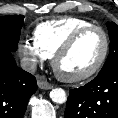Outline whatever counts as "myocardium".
Masks as SVG:
<instances>
[{
    "instance_id": "obj_1",
    "label": "myocardium",
    "mask_w": 118,
    "mask_h": 118,
    "mask_svg": "<svg viewBox=\"0 0 118 118\" xmlns=\"http://www.w3.org/2000/svg\"><path fill=\"white\" fill-rule=\"evenodd\" d=\"M92 30H96L99 31L103 37V42H104V47H103V52L101 54V57L99 58V60L97 61V63L88 71L76 75V76H69V75H65L63 74L59 68H58V62L59 60L66 54L68 53L71 48L76 44V42L87 32L92 31ZM109 50H110V40H109V36L107 34V32L105 31L104 28H102L101 26L98 25H88L85 27H82L80 29H78L77 31H75L54 53V55L52 56V67L54 72L56 73L57 77L59 79H61L64 82H68V83H76V82H81L84 80H87L89 78H91L92 76H94L104 65L108 54H109Z\"/></svg>"
}]
</instances>
